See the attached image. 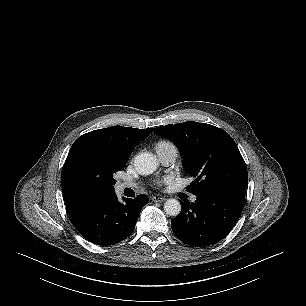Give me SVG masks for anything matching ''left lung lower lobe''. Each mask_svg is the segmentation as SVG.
<instances>
[{"mask_svg": "<svg viewBox=\"0 0 306 306\" xmlns=\"http://www.w3.org/2000/svg\"><path fill=\"white\" fill-rule=\"evenodd\" d=\"M180 214L171 220L175 236L185 244L204 247L225 238L238 221L244 198L231 195L197 196L182 203Z\"/></svg>", "mask_w": 306, "mask_h": 306, "instance_id": "obj_1", "label": "left lung lower lobe"}]
</instances>
